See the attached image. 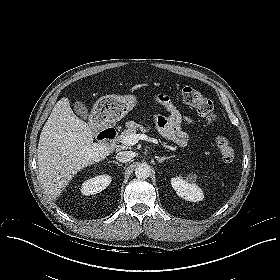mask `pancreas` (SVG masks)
Listing matches in <instances>:
<instances>
[{
  "instance_id": "1",
  "label": "pancreas",
  "mask_w": 280,
  "mask_h": 280,
  "mask_svg": "<svg viewBox=\"0 0 280 280\" xmlns=\"http://www.w3.org/2000/svg\"><path fill=\"white\" fill-rule=\"evenodd\" d=\"M137 131H141V132L145 133L148 130L145 129L142 124H138L134 121H128V122H126V129L120 135V139H122L123 137L130 135L132 133H136Z\"/></svg>"
}]
</instances>
